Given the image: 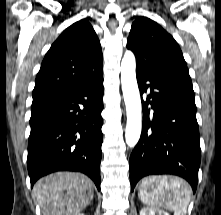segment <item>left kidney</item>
<instances>
[{
  "label": "left kidney",
  "mask_w": 221,
  "mask_h": 215,
  "mask_svg": "<svg viewBox=\"0 0 221 215\" xmlns=\"http://www.w3.org/2000/svg\"><path fill=\"white\" fill-rule=\"evenodd\" d=\"M140 215H170L168 212L158 208H143L140 211Z\"/></svg>",
  "instance_id": "left-kidney-1"
}]
</instances>
